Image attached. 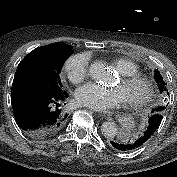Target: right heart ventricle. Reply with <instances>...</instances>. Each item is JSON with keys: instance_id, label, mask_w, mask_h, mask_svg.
Returning <instances> with one entry per match:
<instances>
[{"instance_id": "e07e8e85", "label": "right heart ventricle", "mask_w": 177, "mask_h": 177, "mask_svg": "<svg viewBox=\"0 0 177 177\" xmlns=\"http://www.w3.org/2000/svg\"><path fill=\"white\" fill-rule=\"evenodd\" d=\"M113 65L121 75H135L139 74L140 71L135 62L125 58L114 60Z\"/></svg>"}]
</instances>
